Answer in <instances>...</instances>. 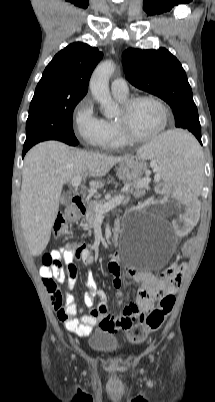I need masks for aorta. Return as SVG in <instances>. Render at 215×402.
<instances>
[{
  "instance_id": "obj_1",
  "label": "aorta",
  "mask_w": 215,
  "mask_h": 402,
  "mask_svg": "<svg viewBox=\"0 0 215 402\" xmlns=\"http://www.w3.org/2000/svg\"><path fill=\"white\" fill-rule=\"evenodd\" d=\"M115 70L111 60L100 63L94 70L90 79V90L94 99L100 104L105 117H113L117 113V105L112 100L109 91V78Z\"/></svg>"
}]
</instances>
